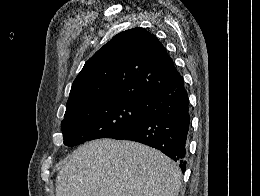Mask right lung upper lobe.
<instances>
[{"label":"right lung upper lobe","mask_w":260,"mask_h":196,"mask_svg":"<svg viewBox=\"0 0 260 196\" xmlns=\"http://www.w3.org/2000/svg\"><path fill=\"white\" fill-rule=\"evenodd\" d=\"M181 78L157 37L143 28L114 36L84 65L67 106L106 96L140 101Z\"/></svg>","instance_id":"cb5924a9"}]
</instances>
